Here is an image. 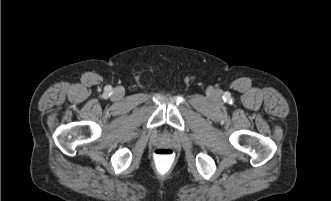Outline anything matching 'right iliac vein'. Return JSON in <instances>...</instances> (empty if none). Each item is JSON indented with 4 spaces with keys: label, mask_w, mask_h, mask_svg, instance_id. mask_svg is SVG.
<instances>
[{
    "label": "right iliac vein",
    "mask_w": 331,
    "mask_h": 201,
    "mask_svg": "<svg viewBox=\"0 0 331 201\" xmlns=\"http://www.w3.org/2000/svg\"><path fill=\"white\" fill-rule=\"evenodd\" d=\"M114 95H115V97H117V98L122 97V96H123V90H122L121 88H117V89H115V91H114Z\"/></svg>",
    "instance_id": "obj_1"
}]
</instances>
